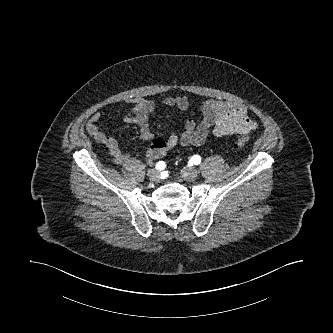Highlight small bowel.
Masks as SVG:
<instances>
[{
	"mask_svg": "<svg viewBox=\"0 0 333 333\" xmlns=\"http://www.w3.org/2000/svg\"><path fill=\"white\" fill-rule=\"evenodd\" d=\"M163 103L168 107H177L180 110H187L192 106V102L184 95L169 96L164 99ZM130 104L132 105L131 112L125 116L124 120L128 124L139 127L141 139L151 141V145L146 151V156L151 160L161 158L178 144L198 146L204 144L211 134L216 137L247 135L256 128V122L248 116L244 105L231 101L206 100L198 104L202 113L201 119L199 121L186 120L181 134L173 132L167 137H154L149 127V118L155 112L154 101L138 97L132 99ZM100 120L101 113H93L85 125L86 131L97 142L108 148L116 163L126 162L130 154L120 147L119 141L114 136L100 128Z\"/></svg>",
	"mask_w": 333,
	"mask_h": 333,
	"instance_id": "c3829d8e",
	"label": "small bowel"
}]
</instances>
